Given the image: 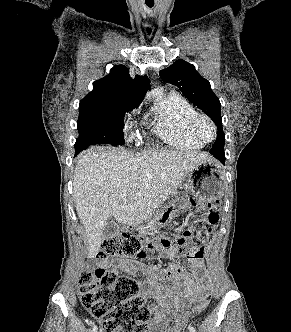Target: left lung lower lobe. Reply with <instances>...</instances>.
<instances>
[{"mask_svg": "<svg viewBox=\"0 0 291 332\" xmlns=\"http://www.w3.org/2000/svg\"><path fill=\"white\" fill-rule=\"evenodd\" d=\"M210 153L217 157L223 164L225 163L224 150H210Z\"/></svg>", "mask_w": 291, "mask_h": 332, "instance_id": "1", "label": "left lung lower lobe"}]
</instances>
